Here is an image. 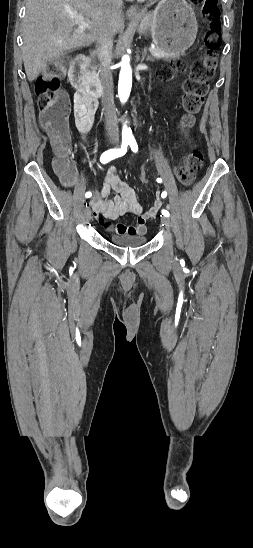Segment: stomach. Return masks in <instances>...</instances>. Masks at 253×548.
<instances>
[{"label":"stomach","instance_id":"obj_1","mask_svg":"<svg viewBox=\"0 0 253 548\" xmlns=\"http://www.w3.org/2000/svg\"><path fill=\"white\" fill-rule=\"evenodd\" d=\"M137 30L151 36L162 50L181 55L193 45L198 25L193 9L185 0H162L154 11L141 15Z\"/></svg>","mask_w":253,"mask_h":548}]
</instances>
